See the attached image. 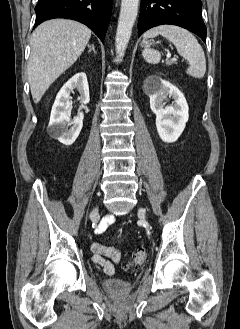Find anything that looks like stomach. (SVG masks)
<instances>
[{
    "mask_svg": "<svg viewBox=\"0 0 240 329\" xmlns=\"http://www.w3.org/2000/svg\"><path fill=\"white\" fill-rule=\"evenodd\" d=\"M143 44L147 45V44H148V42H147L146 40H144V41H143Z\"/></svg>",
    "mask_w": 240,
    "mask_h": 329,
    "instance_id": "1",
    "label": "stomach"
}]
</instances>
